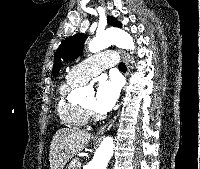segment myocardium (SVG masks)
Masks as SVG:
<instances>
[{
  "instance_id": "myocardium-1",
  "label": "myocardium",
  "mask_w": 200,
  "mask_h": 169,
  "mask_svg": "<svg viewBox=\"0 0 200 169\" xmlns=\"http://www.w3.org/2000/svg\"><path fill=\"white\" fill-rule=\"evenodd\" d=\"M88 116L94 120H99L102 118V114L99 113L95 108L85 105L84 106Z\"/></svg>"
}]
</instances>
